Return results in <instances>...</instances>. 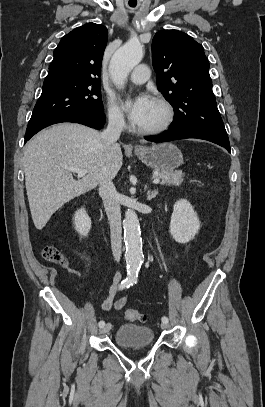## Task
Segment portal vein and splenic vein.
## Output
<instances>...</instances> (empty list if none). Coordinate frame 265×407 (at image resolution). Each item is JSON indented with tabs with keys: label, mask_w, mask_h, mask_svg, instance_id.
<instances>
[{
	"label": "portal vein and splenic vein",
	"mask_w": 265,
	"mask_h": 407,
	"mask_svg": "<svg viewBox=\"0 0 265 407\" xmlns=\"http://www.w3.org/2000/svg\"><path fill=\"white\" fill-rule=\"evenodd\" d=\"M64 168L70 170L71 172L77 173L79 177H82V176L87 174V170L79 169V168H76V167L65 166ZM159 182H160L159 178H155L153 180L154 184H158Z\"/></svg>",
	"instance_id": "1"
}]
</instances>
